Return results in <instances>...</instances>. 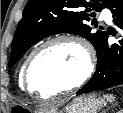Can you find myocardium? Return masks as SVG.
Listing matches in <instances>:
<instances>
[{"label":"myocardium","mask_w":123,"mask_h":113,"mask_svg":"<svg viewBox=\"0 0 123 113\" xmlns=\"http://www.w3.org/2000/svg\"><path fill=\"white\" fill-rule=\"evenodd\" d=\"M59 42H72L75 45H77L84 53L85 56V69L82 73V75L72 84L69 86H66L64 88L57 89L53 92H49L47 94H42V93H36L32 89V85L30 82V69L31 65L35 59V57L45 48ZM95 70V58L94 54L92 51V48L90 44L81 36L76 35V34H61L57 35L55 37H52L40 45H38L28 56L26 59L24 66H23V71H22V79H23V87L33 95H36L37 97L43 98V99H48L52 98L58 94H64L71 92L75 90L76 88L80 87L83 85L86 81H88L91 76L93 75Z\"/></svg>","instance_id":"f54148a6"}]
</instances>
